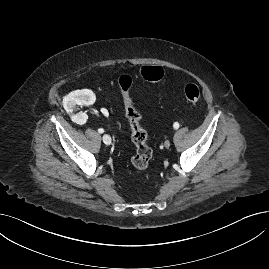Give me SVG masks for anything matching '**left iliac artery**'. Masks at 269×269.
<instances>
[{"instance_id":"left-iliac-artery-1","label":"left iliac artery","mask_w":269,"mask_h":269,"mask_svg":"<svg viewBox=\"0 0 269 269\" xmlns=\"http://www.w3.org/2000/svg\"><path fill=\"white\" fill-rule=\"evenodd\" d=\"M174 129H178L179 128V123L178 122H175L174 125H173Z\"/></svg>"}]
</instances>
